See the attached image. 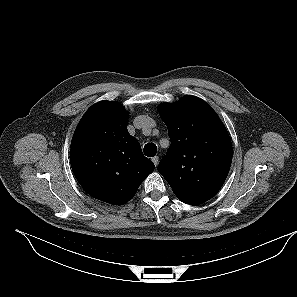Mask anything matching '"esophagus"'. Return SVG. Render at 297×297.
I'll use <instances>...</instances> for the list:
<instances>
[{
	"mask_svg": "<svg viewBox=\"0 0 297 297\" xmlns=\"http://www.w3.org/2000/svg\"><path fill=\"white\" fill-rule=\"evenodd\" d=\"M152 162L154 163L155 166H157L159 162V157L158 156L153 157Z\"/></svg>",
	"mask_w": 297,
	"mask_h": 297,
	"instance_id": "obj_1",
	"label": "esophagus"
}]
</instances>
